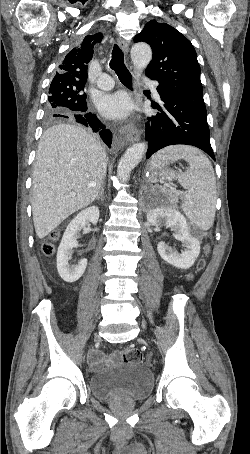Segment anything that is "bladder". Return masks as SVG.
<instances>
[{"label": "bladder", "instance_id": "1", "mask_svg": "<svg viewBox=\"0 0 250 454\" xmlns=\"http://www.w3.org/2000/svg\"><path fill=\"white\" fill-rule=\"evenodd\" d=\"M88 387L91 394L103 402H139L151 395L153 376L146 366L124 361L92 374L88 379Z\"/></svg>", "mask_w": 250, "mask_h": 454}]
</instances>
